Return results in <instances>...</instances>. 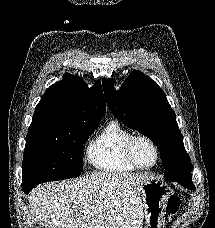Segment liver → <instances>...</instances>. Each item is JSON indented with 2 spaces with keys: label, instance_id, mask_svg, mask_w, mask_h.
<instances>
[{
  "label": "liver",
  "instance_id": "6515ba94",
  "mask_svg": "<svg viewBox=\"0 0 215 228\" xmlns=\"http://www.w3.org/2000/svg\"><path fill=\"white\" fill-rule=\"evenodd\" d=\"M150 180L146 174L98 172L36 186L28 202L48 228H142L140 192Z\"/></svg>",
  "mask_w": 215,
  "mask_h": 228
}]
</instances>
